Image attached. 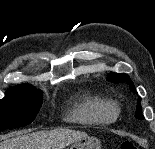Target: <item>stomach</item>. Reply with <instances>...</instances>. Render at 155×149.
Masks as SVG:
<instances>
[{
  "label": "stomach",
  "mask_w": 155,
  "mask_h": 149,
  "mask_svg": "<svg viewBox=\"0 0 155 149\" xmlns=\"http://www.w3.org/2000/svg\"><path fill=\"white\" fill-rule=\"evenodd\" d=\"M100 140L96 137H89L80 139L74 142L69 149H100Z\"/></svg>",
  "instance_id": "obj_1"
}]
</instances>
